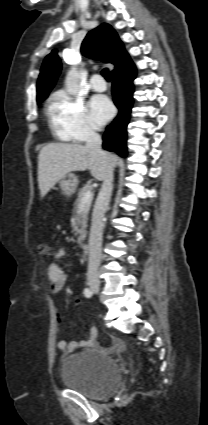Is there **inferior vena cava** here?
Returning <instances> with one entry per match:
<instances>
[{
	"label": "inferior vena cava",
	"mask_w": 208,
	"mask_h": 425,
	"mask_svg": "<svg viewBox=\"0 0 208 425\" xmlns=\"http://www.w3.org/2000/svg\"><path fill=\"white\" fill-rule=\"evenodd\" d=\"M102 140L98 133L92 128L87 131L86 148L95 152L100 158L106 161L107 170L103 179L100 192L95 202L92 223L89 237V263H88V280L90 283L99 284V266L101 262V247L103 235V218L108 209L109 202L113 190V171L114 162L109 153L101 149Z\"/></svg>",
	"instance_id": "inferior-vena-cava-1"
}]
</instances>
